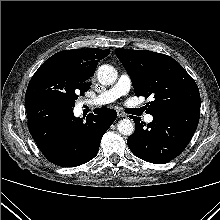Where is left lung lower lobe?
Returning a JSON list of instances; mask_svg holds the SVG:
<instances>
[{"label":"left lung lower lobe","instance_id":"obj_1","mask_svg":"<svg viewBox=\"0 0 220 220\" xmlns=\"http://www.w3.org/2000/svg\"><path fill=\"white\" fill-rule=\"evenodd\" d=\"M151 123L132 117L135 131L127 144L138 158L164 164L177 157L189 144L199 122L200 107H178L156 112Z\"/></svg>","mask_w":220,"mask_h":220}]
</instances>
